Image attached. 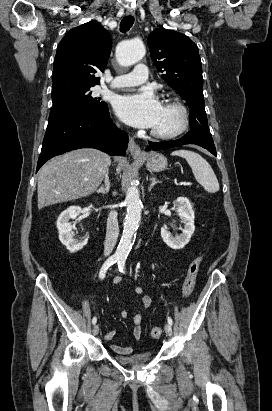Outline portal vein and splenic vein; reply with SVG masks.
Masks as SVG:
<instances>
[{
  "label": "portal vein and splenic vein",
  "instance_id": "portal-vein-and-splenic-vein-1",
  "mask_svg": "<svg viewBox=\"0 0 272 411\" xmlns=\"http://www.w3.org/2000/svg\"><path fill=\"white\" fill-rule=\"evenodd\" d=\"M182 184H183L184 186L192 185V183H190V182H183Z\"/></svg>",
  "mask_w": 272,
  "mask_h": 411
}]
</instances>
